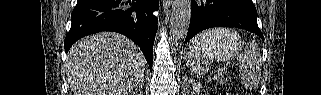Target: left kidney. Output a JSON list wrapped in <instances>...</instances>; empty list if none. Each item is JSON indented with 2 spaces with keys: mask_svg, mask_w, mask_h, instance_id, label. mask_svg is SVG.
Instances as JSON below:
<instances>
[{
  "mask_svg": "<svg viewBox=\"0 0 321 95\" xmlns=\"http://www.w3.org/2000/svg\"><path fill=\"white\" fill-rule=\"evenodd\" d=\"M200 89L193 88L191 95H199Z\"/></svg>",
  "mask_w": 321,
  "mask_h": 95,
  "instance_id": "obj_1",
  "label": "left kidney"
}]
</instances>
